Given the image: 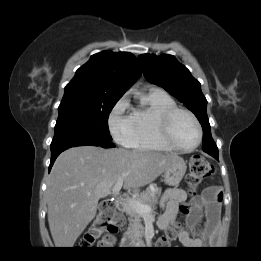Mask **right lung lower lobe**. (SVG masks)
I'll return each instance as SVG.
<instances>
[{"label":"right lung lower lobe","instance_id":"1","mask_svg":"<svg viewBox=\"0 0 261 261\" xmlns=\"http://www.w3.org/2000/svg\"><path fill=\"white\" fill-rule=\"evenodd\" d=\"M85 145H93V146H101L103 148H111L115 147L113 143L110 142L109 139L94 136V135H77V136H69L62 137L59 139H53L51 143V163L49 166V171L55 159L58 155L65 151L68 148L76 147V146H85Z\"/></svg>","mask_w":261,"mask_h":261}]
</instances>
